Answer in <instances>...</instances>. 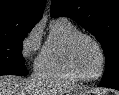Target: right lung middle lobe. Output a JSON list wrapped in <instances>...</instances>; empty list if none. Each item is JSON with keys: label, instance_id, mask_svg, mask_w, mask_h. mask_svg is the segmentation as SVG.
<instances>
[{"label": "right lung middle lobe", "instance_id": "dd1d6c3e", "mask_svg": "<svg viewBox=\"0 0 119 95\" xmlns=\"http://www.w3.org/2000/svg\"><path fill=\"white\" fill-rule=\"evenodd\" d=\"M33 26L17 25L0 30V73L28 74L22 56V41Z\"/></svg>", "mask_w": 119, "mask_h": 95}]
</instances>
